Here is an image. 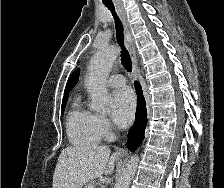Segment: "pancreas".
<instances>
[{"label":"pancreas","mask_w":224,"mask_h":188,"mask_svg":"<svg viewBox=\"0 0 224 188\" xmlns=\"http://www.w3.org/2000/svg\"><path fill=\"white\" fill-rule=\"evenodd\" d=\"M90 186H94V181H90L83 188H89Z\"/></svg>","instance_id":"pancreas-1"}]
</instances>
